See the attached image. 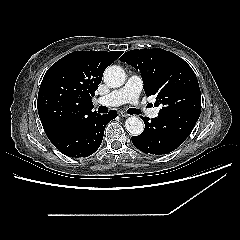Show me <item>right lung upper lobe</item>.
I'll use <instances>...</instances> for the list:
<instances>
[{
  "label": "right lung upper lobe",
  "mask_w": 240,
  "mask_h": 240,
  "mask_svg": "<svg viewBox=\"0 0 240 240\" xmlns=\"http://www.w3.org/2000/svg\"><path fill=\"white\" fill-rule=\"evenodd\" d=\"M122 53L75 51L47 70L38 93V113L48 138L97 114L92 112L91 97L104 70Z\"/></svg>",
  "instance_id": "obj_1"
}]
</instances>
